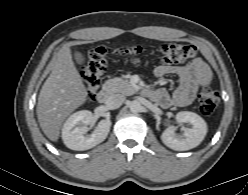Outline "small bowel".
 Returning a JSON list of instances; mask_svg holds the SVG:
<instances>
[{
    "label": "small bowel",
    "instance_id": "1",
    "mask_svg": "<svg viewBox=\"0 0 248 195\" xmlns=\"http://www.w3.org/2000/svg\"><path fill=\"white\" fill-rule=\"evenodd\" d=\"M154 74L158 78L168 74L179 77V84L172 94L162 88L150 91L151 98L162 107L189 105L198 90L208 86L212 80L211 71L201 59H195L186 65H159Z\"/></svg>",
    "mask_w": 248,
    "mask_h": 195
}]
</instances>
